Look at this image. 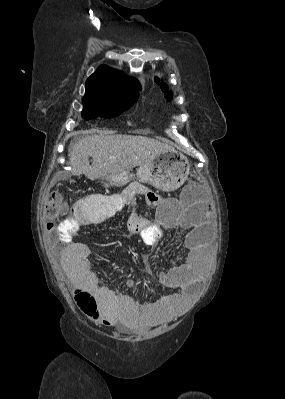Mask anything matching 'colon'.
Segmentation results:
<instances>
[{
  "mask_svg": "<svg viewBox=\"0 0 285 399\" xmlns=\"http://www.w3.org/2000/svg\"><path fill=\"white\" fill-rule=\"evenodd\" d=\"M204 186V181L201 177H193L187 184L185 193L192 194ZM146 199L150 205H157L159 203V197L154 193H148ZM66 201L64 193L59 190H53L44 204V213L46 219L49 223V231L51 233V238L54 242L60 241H75L76 238L71 232H59L58 225L56 221L62 219L65 216ZM86 306H95L93 301L87 303Z\"/></svg>",
  "mask_w": 285,
  "mask_h": 399,
  "instance_id": "5ec220e1",
  "label": "colon"
}]
</instances>
